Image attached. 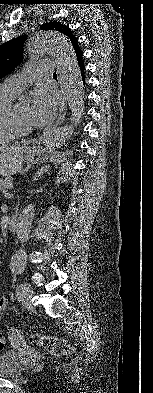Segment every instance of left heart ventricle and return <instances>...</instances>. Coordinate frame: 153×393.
<instances>
[{"instance_id": "1", "label": "left heart ventricle", "mask_w": 153, "mask_h": 393, "mask_svg": "<svg viewBox=\"0 0 153 393\" xmlns=\"http://www.w3.org/2000/svg\"><path fill=\"white\" fill-rule=\"evenodd\" d=\"M15 112H16V115H17L18 119L20 120V122L23 125L30 126V122H29V112H30L29 102L18 103L16 105V107H15Z\"/></svg>"}]
</instances>
